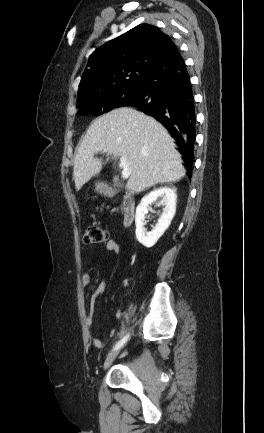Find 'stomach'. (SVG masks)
I'll list each match as a JSON object with an SVG mask.
<instances>
[{"label":"stomach","mask_w":264,"mask_h":433,"mask_svg":"<svg viewBox=\"0 0 264 433\" xmlns=\"http://www.w3.org/2000/svg\"><path fill=\"white\" fill-rule=\"evenodd\" d=\"M97 191H100L102 189V186L100 184H96V188Z\"/></svg>","instance_id":"stomach-1"}]
</instances>
